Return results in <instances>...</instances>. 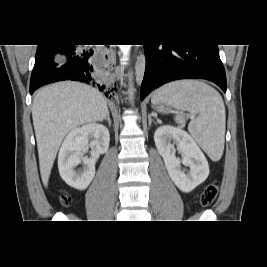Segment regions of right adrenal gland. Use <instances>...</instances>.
I'll return each instance as SVG.
<instances>
[{"mask_svg":"<svg viewBox=\"0 0 267 267\" xmlns=\"http://www.w3.org/2000/svg\"><path fill=\"white\" fill-rule=\"evenodd\" d=\"M104 120H106L108 122L109 127H111V119H110L109 112L107 113V116H106V118Z\"/></svg>","mask_w":267,"mask_h":267,"instance_id":"obj_1","label":"right adrenal gland"}]
</instances>
